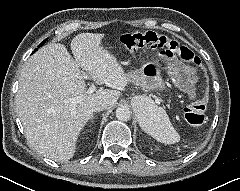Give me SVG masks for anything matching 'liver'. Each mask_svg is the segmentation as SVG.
I'll return each mask as SVG.
<instances>
[{"label": "liver", "instance_id": "1", "mask_svg": "<svg viewBox=\"0 0 240 191\" xmlns=\"http://www.w3.org/2000/svg\"><path fill=\"white\" fill-rule=\"evenodd\" d=\"M104 34L81 33L71 41L74 58L66 47L50 43L24 64L16 95V111L29 144L54 161L74 156L78 136L93 116L92 106L102 101L113 107L128 84L116 58L101 46ZM102 89L88 94L85 75ZM80 96L82 101L66 100Z\"/></svg>", "mask_w": 240, "mask_h": 191}]
</instances>
